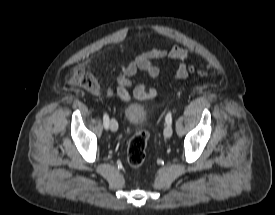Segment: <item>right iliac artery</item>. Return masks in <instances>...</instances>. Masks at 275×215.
Returning <instances> with one entry per match:
<instances>
[{
    "instance_id": "right-iliac-artery-1",
    "label": "right iliac artery",
    "mask_w": 275,
    "mask_h": 215,
    "mask_svg": "<svg viewBox=\"0 0 275 215\" xmlns=\"http://www.w3.org/2000/svg\"><path fill=\"white\" fill-rule=\"evenodd\" d=\"M103 124H104L105 129L109 128V116L107 113H104Z\"/></svg>"
}]
</instances>
